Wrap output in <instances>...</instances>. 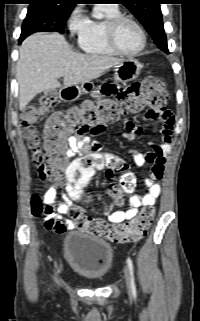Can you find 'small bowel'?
<instances>
[{
    "instance_id": "c3829d8e",
    "label": "small bowel",
    "mask_w": 200,
    "mask_h": 321,
    "mask_svg": "<svg viewBox=\"0 0 200 321\" xmlns=\"http://www.w3.org/2000/svg\"><path fill=\"white\" fill-rule=\"evenodd\" d=\"M117 85H120V82H117V84L116 82L101 83L99 88L100 97L122 98L123 96H131V93H136L137 90L142 88L141 83H131L130 86L124 84V87H117ZM145 120L151 123L160 121L162 124L161 143H151V150L145 154L136 151L132 152L133 161L137 166L152 165L145 181L147 192L142 196L132 195L129 198V208L127 210L112 211L111 207H106L103 214L113 224H120L133 219L141 206H153L161 192L160 185L156 181L163 176L166 156L171 150L173 117L170 111L163 108L161 110H148L145 114ZM125 128L126 132L123 136L127 139H133L140 131V126L130 121L125 123ZM67 142L69 147L68 157L75 153L91 154L99 152L101 149V143L98 140H92L89 136H70ZM106 176L113 180L115 171L112 168H107ZM63 186V181L54 182L43 195L44 204L53 208L52 212L44 215L45 228L58 234H63L76 228L74 221L61 220V216L68 214L75 206L74 201L79 199L65 198L64 193H60Z\"/></svg>"
}]
</instances>
